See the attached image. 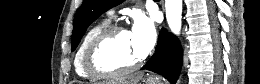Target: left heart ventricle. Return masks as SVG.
Here are the masks:
<instances>
[{"instance_id":"b2bd125f","label":"left heart ventricle","mask_w":260,"mask_h":84,"mask_svg":"<svg viewBox=\"0 0 260 84\" xmlns=\"http://www.w3.org/2000/svg\"><path fill=\"white\" fill-rule=\"evenodd\" d=\"M130 32L122 31L117 34L105 47L102 62L105 65L127 67L139 59Z\"/></svg>"}]
</instances>
